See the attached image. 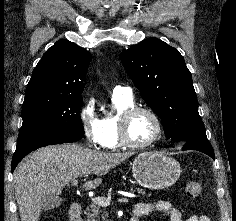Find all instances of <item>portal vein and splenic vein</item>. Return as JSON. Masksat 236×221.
I'll return each instance as SVG.
<instances>
[{
	"instance_id": "1",
	"label": "portal vein and splenic vein",
	"mask_w": 236,
	"mask_h": 221,
	"mask_svg": "<svg viewBox=\"0 0 236 221\" xmlns=\"http://www.w3.org/2000/svg\"><path fill=\"white\" fill-rule=\"evenodd\" d=\"M72 184L73 185H77L78 181L77 180H73ZM93 201H94L95 204H97L99 206L106 207V206L110 205L111 198L110 197L98 196V197L93 198ZM117 201L121 202V203H123V202L126 203V202H129V198L122 197V198L117 199Z\"/></svg>"
}]
</instances>
